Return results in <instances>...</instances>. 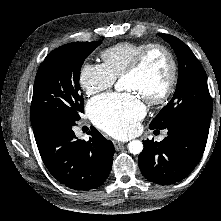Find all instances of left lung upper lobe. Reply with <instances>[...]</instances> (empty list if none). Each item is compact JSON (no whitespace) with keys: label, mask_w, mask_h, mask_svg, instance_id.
I'll use <instances>...</instances> for the list:
<instances>
[{"label":"left lung upper lobe","mask_w":221,"mask_h":221,"mask_svg":"<svg viewBox=\"0 0 221 221\" xmlns=\"http://www.w3.org/2000/svg\"><path fill=\"white\" fill-rule=\"evenodd\" d=\"M159 36L174 49L179 63V75L173 98L153 119L150 127L165 129L184 119L197 118L210 121L212 101L207 78L199 60L178 38L163 33H159Z\"/></svg>","instance_id":"obj_1"}]
</instances>
